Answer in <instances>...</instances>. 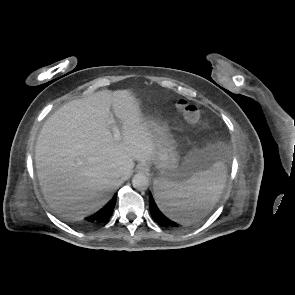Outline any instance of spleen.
Listing matches in <instances>:
<instances>
[{
    "label": "spleen",
    "mask_w": 295,
    "mask_h": 295,
    "mask_svg": "<svg viewBox=\"0 0 295 295\" xmlns=\"http://www.w3.org/2000/svg\"><path fill=\"white\" fill-rule=\"evenodd\" d=\"M226 178L227 170L221 161L181 182L159 178L154 182L156 202L174 220L181 223L198 220L218 200Z\"/></svg>",
    "instance_id": "3e777b00"
}]
</instances>
